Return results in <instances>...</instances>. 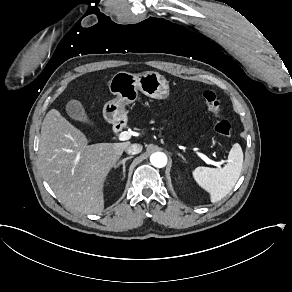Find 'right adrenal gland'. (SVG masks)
<instances>
[{"label":"right adrenal gland","mask_w":292,"mask_h":292,"mask_svg":"<svg viewBox=\"0 0 292 292\" xmlns=\"http://www.w3.org/2000/svg\"><path fill=\"white\" fill-rule=\"evenodd\" d=\"M131 158H133V156L126 157V158H124L123 160L119 161V162L114 166V168L116 169V168H118V167L122 164V171H123V178H122V180H123V179L125 178V176H126V174H125V171H126L125 163H126L127 160H129V159H131Z\"/></svg>","instance_id":"1"}]
</instances>
